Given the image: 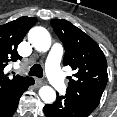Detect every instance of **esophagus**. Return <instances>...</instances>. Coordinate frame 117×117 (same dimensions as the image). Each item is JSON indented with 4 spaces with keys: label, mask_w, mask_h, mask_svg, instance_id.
<instances>
[{
    "label": "esophagus",
    "mask_w": 117,
    "mask_h": 117,
    "mask_svg": "<svg viewBox=\"0 0 117 117\" xmlns=\"http://www.w3.org/2000/svg\"><path fill=\"white\" fill-rule=\"evenodd\" d=\"M36 84H37L38 86H42V85H44V82H43L42 80L37 79V80H36Z\"/></svg>",
    "instance_id": "esophagus-1"
}]
</instances>
